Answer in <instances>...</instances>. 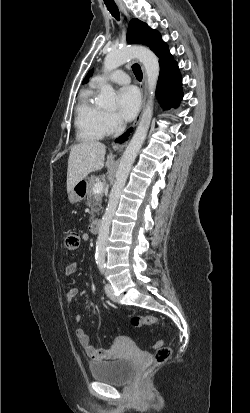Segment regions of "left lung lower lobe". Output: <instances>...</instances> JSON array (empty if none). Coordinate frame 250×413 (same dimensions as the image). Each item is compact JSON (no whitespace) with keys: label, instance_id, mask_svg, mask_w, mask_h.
Instances as JSON below:
<instances>
[{"label":"left lung lower lobe","instance_id":"0a47b994","mask_svg":"<svg viewBox=\"0 0 250 413\" xmlns=\"http://www.w3.org/2000/svg\"><path fill=\"white\" fill-rule=\"evenodd\" d=\"M159 58L160 74L157 84V98L165 108L177 106L182 99V78L177 62L173 60L168 46L154 52Z\"/></svg>","mask_w":250,"mask_h":413}]
</instances>
